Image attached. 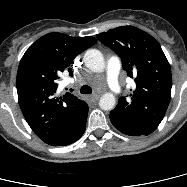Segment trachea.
<instances>
[{"mask_svg": "<svg viewBox=\"0 0 187 187\" xmlns=\"http://www.w3.org/2000/svg\"><path fill=\"white\" fill-rule=\"evenodd\" d=\"M80 92H81L82 94H90V93L92 92V89H91V87L88 86V85H83V86L81 87Z\"/></svg>", "mask_w": 187, "mask_h": 187, "instance_id": "1", "label": "trachea"}]
</instances>
